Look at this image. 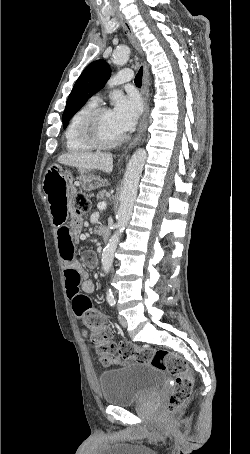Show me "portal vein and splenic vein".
I'll use <instances>...</instances> for the list:
<instances>
[{
  "instance_id": "obj_1",
  "label": "portal vein and splenic vein",
  "mask_w": 250,
  "mask_h": 454,
  "mask_svg": "<svg viewBox=\"0 0 250 454\" xmlns=\"http://www.w3.org/2000/svg\"><path fill=\"white\" fill-rule=\"evenodd\" d=\"M97 207H98V209H99L100 211L105 210L106 207H107V203H106L105 201L99 202V203L97 204Z\"/></svg>"
}]
</instances>
